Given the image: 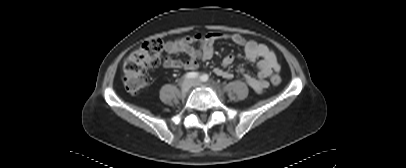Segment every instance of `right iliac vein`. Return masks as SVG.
I'll use <instances>...</instances> for the list:
<instances>
[{
  "label": "right iliac vein",
  "instance_id": "right-iliac-vein-1",
  "mask_svg": "<svg viewBox=\"0 0 406 168\" xmlns=\"http://www.w3.org/2000/svg\"><path fill=\"white\" fill-rule=\"evenodd\" d=\"M192 85H193V80H189V79L185 80V81L181 84V93H182L183 95H185V94L190 90V88L192 87Z\"/></svg>",
  "mask_w": 406,
  "mask_h": 168
}]
</instances>
